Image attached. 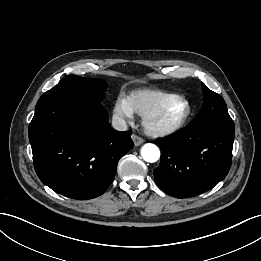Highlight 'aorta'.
Here are the masks:
<instances>
[{"instance_id": "aorta-1", "label": "aorta", "mask_w": 261, "mask_h": 261, "mask_svg": "<svg viewBox=\"0 0 261 261\" xmlns=\"http://www.w3.org/2000/svg\"><path fill=\"white\" fill-rule=\"evenodd\" d=\"M141 156L146 162L154 163L160 158V150L156 145L147 143L141 149Z\"/></svg>"}]
</instances>
